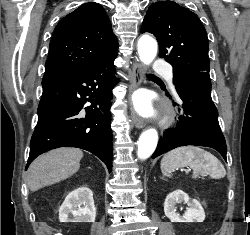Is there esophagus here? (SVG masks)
Listing matches in <instances>:
<instances>
[{"label": "esophagus", "instance_id": "obj_1", "mask_svg": "<svg viewBox=\"0 0 250 235\" xmlns=\"http://www.w3.org/2000/svg\"><path fill=\"white\" fill-rule=\"evenodd\" d=\"M143 82V66L137 60L132 67V81L130 84V92H133ZM131 119L136 128L141 129L145 125V120L140 117L135 110L131 112Z\"/></svg>", "mask_w": 250, "mask_h": 235}]
</instances>
